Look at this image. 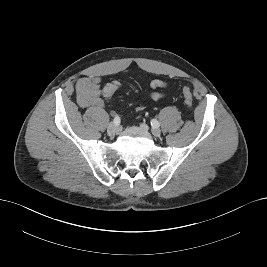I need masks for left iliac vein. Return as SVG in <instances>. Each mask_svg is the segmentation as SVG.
<instances>
[{
  "mask_svg": "<svg viewBox=\"0 0 267 267\" xmlns=\"http://www.w3.org/2000/svg\"><path fill=\"white\" fill-rule=\"evenodd\" d=\"M141 127L142 129L146 130L147 129V126L145 124H141ZM151 132L152 134L155 136V137H159L161 135V130L159 128H156V127H153L151 129Z\"/></svg>",
  "mask_w": 267,
  "mask_h": 267,
  "instance_id": "obj_1",
  "label": "left iliac vein"
}]
</instances>
